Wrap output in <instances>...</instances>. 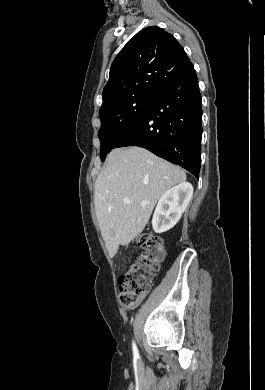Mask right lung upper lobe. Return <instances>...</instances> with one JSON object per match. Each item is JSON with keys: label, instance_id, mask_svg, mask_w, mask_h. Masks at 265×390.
<instances>
[{"label": "right lung upper lobe", "instance_id": "obj_1", "mask_svg": "<svg viewBox=\"0 0 265 390\" xmlns=\"http://www.w3.org/2000/svg\"><path fill=\"white\" fill-rule=\"evenodd\" d=\"M191 65L174 36L158 26L144 28L114 59L100 110L137 94L156 95Z\"/></svg>", "mask_w": 265, "mask_h": 390}]
</instances>
